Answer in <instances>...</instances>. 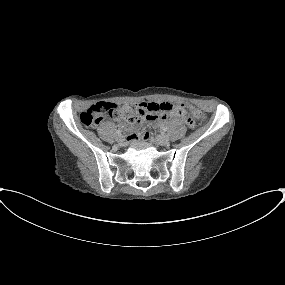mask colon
Wrapping results in <instances>:
<instances>
[{
  "label": "colon",
  "mask_w": 285,
  "mask_h": 285,
  "mask_svg": "<svg viewBox=\"0 0 285 285\" xmlns=\"http://www.w3.org/2000/svg\"><path fill=\"white\" fill-rule=\"evenodd\" d=\"M149 113L151 111L145 105L119 107L109 102H98L80 114V121L87 127H95L108 117L131 121L138 118L141 114ZM169 114L185 119L195 118L200 121L205 119L204 114L199 109L193 108L184 102L172 104L169 108ZM129 139H132V137Z\"/></svg>",
  "instance_id": "5ec220e1"
}]
</instances>
